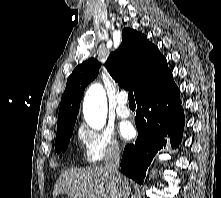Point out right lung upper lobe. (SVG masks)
I'll use <instances>...</instances> for the list:
<instances>
[{"label":"right lung upper lobe","mask_w":221,"mask_h":198,"mask_svg":"<svg viewBox=\"0 0 221 198\" xmlns=\"http://www.w3.org/2000/svg\"><path fill=\"white\" fill-rule=\"evenodd\" d=\"M105 66L121 87L132 89L136 98L169 69L167 61L147 37L133 29H123L122 43ZM100 63L89 59L68 77L61 98L57 132L74 126L85 87L96 78Z\"/></svg>","instance_id":"1"}]
</instances>
